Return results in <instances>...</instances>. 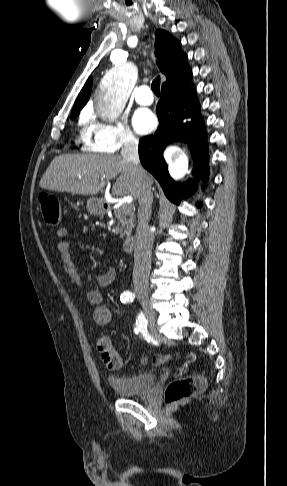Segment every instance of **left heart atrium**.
Wrapping results in <instances>:
<instances>
[{"label":"left heart atrium","mask_w":287,"mask_h":486,"mask_svg":"<svg viewBox=\"0 0 287 486\" xmlns=\"http://www.w3.org/2000/svg\"><path fill=\"white\" fill-rule=\"evenodd\" d=\"M156 124L155 116L148 110H140L133 117V126L140 134L151 131Z\"/></svg>","instance_id":"39dd6f15"}]
</instances>
